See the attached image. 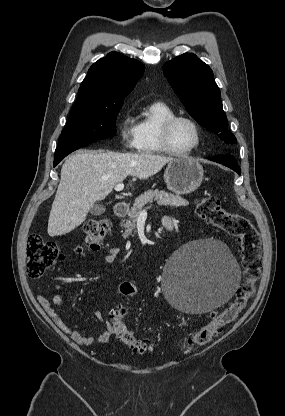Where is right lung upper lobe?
<instances>
[{
    "label": "right lung upper lobe",
    "instance_id": "right-lung-upper-lobe-1",
    "mask_svg": "<svg viewBox=\"0 0 285 416\" xmlns=\"http://www.w3.org/2000/svg\"><path fill=\"white\" fill-rule=\"evenodd\" d=\"M144 65L118 52L94 63L82 81L76 103L106 104L123 101L141 78Z\"/></svg>",
    "mask_w": 285,
    "mask_h": 416
}]
</instances>
